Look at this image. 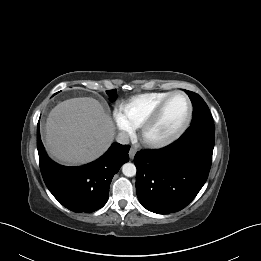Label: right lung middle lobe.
I'll use <instances>...</instances> for the list:
<instances>
[{"mask_svg":"<svg viewBox=\"0 0 261 261\" xmlns=\"http://www.w3.org/2000/svg\"><path fill=\"white\" fill-rule=\"evenodd\" d=\"M106 92H107V94H108L109 97H110V101H114V100L116 99V97H117V95H116V89L107 90Z\"/></svg>","mask_w":261,"mask_h":261,"instance_id":"right-lung-middle-lobe-1","label":"right lung middle lobe"}]
</instances>
